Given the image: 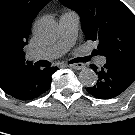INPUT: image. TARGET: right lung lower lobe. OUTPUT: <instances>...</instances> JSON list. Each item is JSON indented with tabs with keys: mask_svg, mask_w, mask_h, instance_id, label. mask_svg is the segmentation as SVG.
<instances>
[{
	"mask_svg": "<svg viewBox=\"0 0 135 135\" xmlns=\"http://www.w3.org/2000/svg\"><path fill=\"white\" fill-rule=\"evenodd\" d=\"M57 67L41 70L33 65L20 66L14 70H0V87L15 99L22 101L40 97L51 87L52 74Z\"/></svg>",
	"mask_w": 135,
	"mask_h": 135,
	"instance_id": "obj_1",
	"label": "right lung lower lobe"
}]
</instances>
